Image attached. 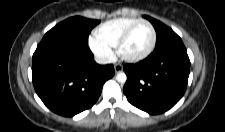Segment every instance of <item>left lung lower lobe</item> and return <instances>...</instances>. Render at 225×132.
<instances>
[{"instance_id": "obj_1", "label": "left lung lower lobe", "mask_w": 225, "mask_h": 132, "mask_svg": "<svg viewBox=\"0 0 225 132\" xmlns=\"http://www.w3.org/2000/svg\"><path fill=\"white\" fill-rule=\"evenodd\" d=\"M124 71L123 91L128 101L149 114H160L184 95L190 60L183 42H178L155 49L136 64L124 65Z\"/></svg>"}]
</instances>
